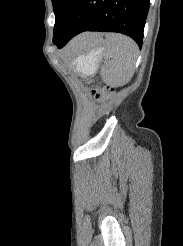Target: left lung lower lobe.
Wrapping results in <instances>:
<instances>
[{
  "mask_svg": "<svg viewBox=\"0 0 183 246\" xmlns=\"http://www.w3.org/2000/svg\"><path fill=\"white\" fill-rule=\"evenodd\" d=\"M149 0H76L64 24L53 37L62 48L84 31L118 32L142 46Z\"/></svg>",
  "mask_w": 183,
  "mask_h": 246,
  "instance_id": "1",
  "label": "left lung lower lobe"
}]
</instances>
